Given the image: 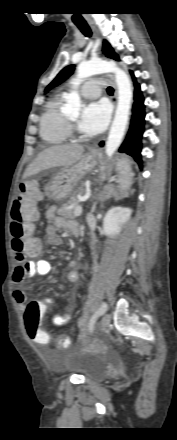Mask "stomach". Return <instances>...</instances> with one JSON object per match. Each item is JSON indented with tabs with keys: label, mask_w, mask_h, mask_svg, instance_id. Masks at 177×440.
<instances>
[{
	"label": "stomach",
	"mask_w": 177,
	"mask_h": 440,
	"mask_svg": "<svg viewBox=\"0 0 177 440\" xmlns=\"http://www.w3.org/2000/svg\"><path fill=\"white\" fill-rule=\"evenodd\" d=\"M97 160L96 156L86 154L76 164L59 169L45 186L46 196L55 201L65 199L72 192L76 183L94 168ZM125 163L126 161L120 162V165Z\"/></svg>",
	"instance_id": "stomach-1"
}]
</instances>
